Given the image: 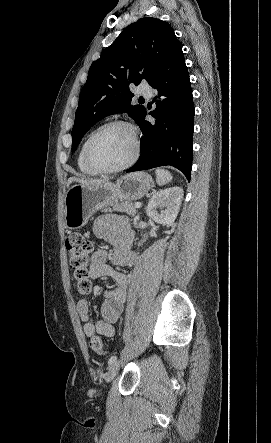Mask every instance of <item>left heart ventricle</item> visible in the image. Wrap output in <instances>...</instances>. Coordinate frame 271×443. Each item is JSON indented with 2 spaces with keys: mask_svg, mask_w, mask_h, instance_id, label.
Returning <instances> with one entry per match:
<instances>
[{
  "mask_svg": "<svg viewBox=\"0 0 271 443\" xmlns=\"http://www.w3.org/2000/svg\"><path fill=\"white\" fill-rule=\"evenodd\" d=\"M133 140L128 129L112 127L106 130L95 142L92 157L103 167H116L131 156Z\"/></svg>",
  "mask_w": 271,
  "mask_h": 443,
  "instance_id": "obj_1",
  "label": "left heart ventricle"
}]
</instances>
